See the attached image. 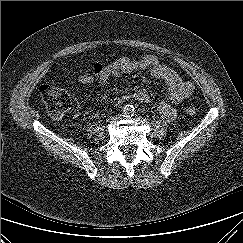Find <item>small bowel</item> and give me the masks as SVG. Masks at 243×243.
<instances>
[{"label":"small bowel","mask_w":243,"mask_h":243,"mask_svg":"<svg viewBox=\"0 0 243 243\" xmlns=\"http://www.w3.org/2000/svg\"><path fill=\"white\" fill-rule=\"evenodd\" d=\"M137 70H149L154 78L165 83L167 92L165 98L159 103L158 109L164 120L173 121L176 117L173 104L180 103L188 98L194 91V84L185 80L179 73L163 64L154 55H143L138 58L122 57L107 64L96 63L90 73L79 76L78 82L82 85H92L96 81L105 84L111 79L119 78ZM130 99L140 103H148L150 95L145 89H139L131 95L119 97L114 106H119Z\"/></svg>","instance_id":"obj_1"}]
</instances>
